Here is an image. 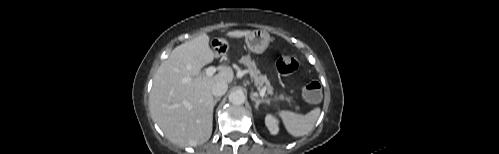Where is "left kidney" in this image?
Listing matches in <instances>:
<instances>
[{
  "label": "left kidney",
  "instance_id": "obj_1",
  "mask_svg": "<svg viewBox=\"0 0 499 154\" xmlns=\"http://www.w3.org/2000/svg\"><path fill=\"white\" fill-rule=\"evenodd\" d=\"M265 124L271 134L276 135L279 132L278 120L274 116L267 115L265 117Z\"/></svg>",
  "mask_w": 499,
  "mask_h": 154
}]
</instances>
